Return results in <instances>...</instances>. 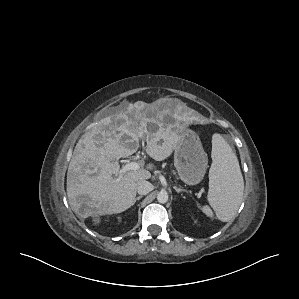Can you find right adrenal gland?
<instances>
[{
	"mask_svg": "<svg viewBox=\"0 0 299 299\" xmlns=\"http://www.w3.org/2000/svg\"><path fill=\"white\" fill-rule=\"evenodd\" d=\"M142 197H143V195H140V196L136 197V198L134 199V204L136 203V201L140 200Z\"/></svg>",
	"mask_w": 299,
	"mask_h": 299,
	"instance_id": "obj_1",
	"label": "right adrenal gland"
}]
</instances>
